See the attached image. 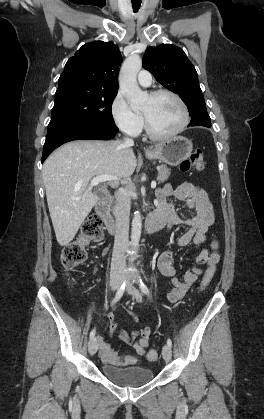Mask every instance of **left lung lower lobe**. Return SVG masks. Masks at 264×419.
<instances>
[{"mask_svg":"<svg viewBox=\"0 0 264 419\" xmlns=\"http://www.w3.org/2000/svg\"><path fill=\"white\" fill-rule=\"evenodd\" d=\"M189 126H206L211 127L210 117L205 115H193L191 116V121Z\"/></svg>","mask_w":264,"mask_h":419,"instance_id":"0a47b994","label":"left lung lower lobe"}]
</instances>
